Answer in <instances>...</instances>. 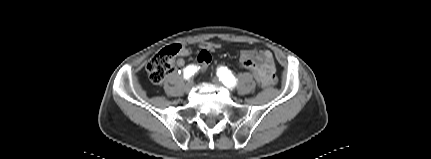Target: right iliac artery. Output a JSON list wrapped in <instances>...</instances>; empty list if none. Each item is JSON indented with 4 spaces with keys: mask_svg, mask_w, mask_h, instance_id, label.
Wrapping results in <instances>:
<instances>
[{
    "mask_svg": "<svg viewBox=\"0 0 431 159\" xmlns=\"http://www.w3.org/2000/svg\"><path fill=\"white\" fill-rule=\"evenodd\" d=\"M199 70V67L194 65H189L183 70L184 79L188 80L190 79L197 71Z\"/></svg>",
    "mask_w": 431,
    "mask_h": 159,
    "instance_id": "obj_1",
    "label": "right iliac artery"
}]
</instances>
